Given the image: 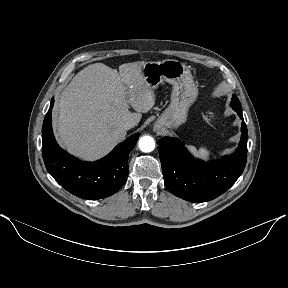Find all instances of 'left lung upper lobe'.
<instances>
[{
  "label": "left lung upper lobe",
  "mask_w": 288,
  "mask_h": 288,
  "mask_svg": "<svg viewBox=\"0 0 288 288\" xmlns=\"http://www.w3.org/2000/svg\"><path fill=\"white\" fill-rule=\"evenodd\" d=\"M231 107L233 109H237V110H240L242 111V108H241V103L238 99V97L234 94L233 97H232V100H231V103H230Z\"/></svg>",
  "instance_id": "left-lung-upper-lobe-1"
}]
</instances>
